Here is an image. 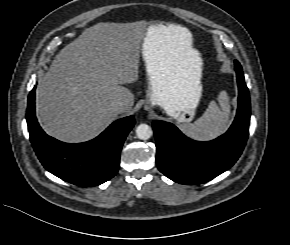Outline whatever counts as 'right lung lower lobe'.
Wrapping results in <instances>:
<instances>
[{
    "instance_id": "obj_1",
    "label": "right lung lower lobe",
    "mask_w": 290,
    "mask_h": 245,
    "mask_svg": "<svg viewBox=\"0 0 290 245\" xmlns=\"http://www.w3.org/2000/svg\"><path fill=\"white\" fill-rule=\"evenodd\" d=\"M35 87L28 96L26 119L32 146L42 165L64 181L81 186L102 184L118 171L120 151L135 124L133 116L113 122L95 139L69 144L48 136L35 116Z\"/></svg>"
}]
</instances>
